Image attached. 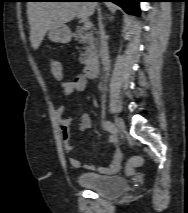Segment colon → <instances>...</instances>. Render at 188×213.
<instances>
[{
	"label": "colon",
	"instance_id": "1",
	"mask_svg": "<svg viewBox=\"0 0 188 213\" xmlns=\"http://www.w3.org/2000/svg\"><path fill=\"white\" fill-rule=\"evenodd\" d=\"M49 67H50V70L53 74V76L56 78V79H62L63 78V68H62V65L61 63L56 60V59H51L49 61ZM143 162V158L141 156H133L131 157L127 163H126V171L128 173H133L135 171V169L141 165Z\"/></svg>",
	"mask_w": 188,
	"mask_h": 213
}]
</instances>
